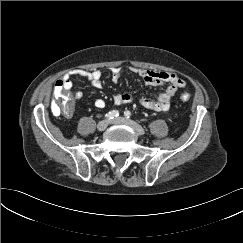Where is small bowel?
Masks as SVG:
<instances>
[{
	"instance_id": "c3829d8e",
	"label": "small bowel",
	"mask_w": 243,
	"mask_h": 243,
	"mask_svg": "<svg viewBox=\"0 0 243 243\" xmlns=\"http://www.w3.org/2000/svg\"><path fill=\"white\" fill-rule=\"evenodd\" d=\"M111 79L114 83H117L122 76V69L119 67H113L110 69ZM132 72L136 73L146 85L149 86H164L166 88L157 93L155 98H147L145 96L138 97V102L144 107L154 111H165L170 107L171 99L175 93L185 87V81L176 73L164 72V71H151L145 69H133ZM73 75H79L86 77L91 86L94 88H100L102 85V72L100 70L84 71L76 70L72 73L65 74L61 80H59L65 90H70L73 87L71 77ZM82 92L75 93V100L82 98ZM114 102L117 105H125L134 101V97L128 93H118L114 95ZM95 107L102 109L105 107V101L101 98L95 101Z\"/></svg>"
}]
</instances>
